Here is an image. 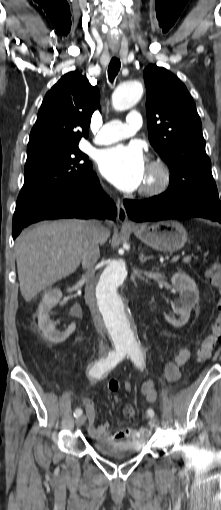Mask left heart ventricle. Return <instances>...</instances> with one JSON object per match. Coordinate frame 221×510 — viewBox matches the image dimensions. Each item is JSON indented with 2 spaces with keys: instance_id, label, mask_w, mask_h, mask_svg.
Segmentation results:
<instances>
[{
  "instance_id": "b2bd125f",
  "label": "left heart ventricle",
  "mask_w": 221,
  "mask_h": 510,
  "mask_svg": "<svg viewBox=\"0 0 221 510\" xmlns=\"http://www.w3.org/2000/svg\"><path fill=\"white\" fill-rule=\"evenodd\" d=\"M154 179V174L147 169L142 186L152 183Z\"/></svg>"
}]
</instances>
